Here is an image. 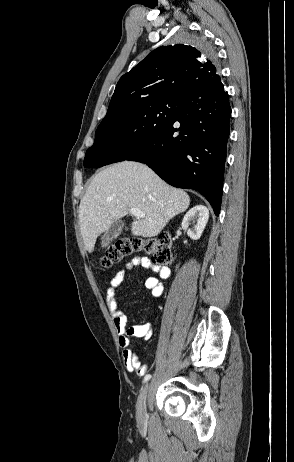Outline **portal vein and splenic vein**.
Instances as JSON below:
<instances>
[{"label": "portal vein and splenic vein", "instance_id": "obj_1", "mask_svg": "<svg viewBox=\"0 0 294 462\" xmlns=\"http://www.w3.org/2000/svg\"><path fill=\"white\" fill-rule=\"evenodd\" d=\"M129 212L132 216L136 217V218H144L145 217V214L140 211L139 209H136V208H131L129 209Z\"/></svg>", "mask_w": 294, "mask_h": 462}]
</instances>
